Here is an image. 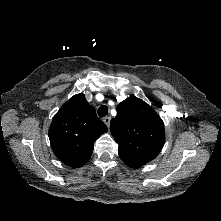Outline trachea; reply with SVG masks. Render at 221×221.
I'll return each mask as SVG.
<instances>
[{
  "instance_id": "obj_1",
  "label": "trachea",
  "mask_w": 221,
  "mask_h": 221,
  "mask_svg": "<svg viewBox=\"0 0 221 221\" xmlns=\"http://www.w3.org/2000/svg\"><path fill=\"white\" fill-rule=\"evenodd\" d=\"M108 114V107L106 105H102L98 109V116L105 117Z\"/></svg>"
}]
</instances>
